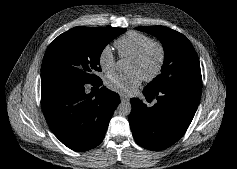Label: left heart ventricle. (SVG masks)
<instances>
[{
	"instance_id": "left-heart-ventricle-1",
	"label": "left heart ventricle",
	"mask_w": 237,
	"mask_h": 169,
	"mask_svg": "<svg viewBox=\"0 0 237 169\" xmlns=\"http://www.w3.org/2000/svg\"><path fill=\"white\" fill-rule=\"evenodd\" d=\"M158 62V52L151 50L143 61H136L131 59L129 64V71H136L142 77L148 75L156 66Z\"/></svg>"
}]
</instances>
